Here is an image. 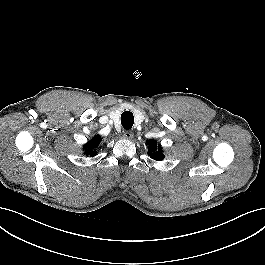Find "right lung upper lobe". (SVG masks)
<instances>
[{
    "instance_id": "right-lung-upper-lobe-1",
    "label": "right lung upper lobe",
    "mask_w": 265,
    "mask_h": 265,
    "mask_svg": "<svg viewBox=\"0 0 265 265\" xmlns=\"http://www.w3.org/2000/svg\"><path fill=\"white\" fill-rule=\"evenodd\" d=\"M102 138L99 135H96L92 140L87 142V144L84 145L85 154L90 155V157H93L97 154L96 148L101 143Z\"/></svg>"
}]
</instances>
